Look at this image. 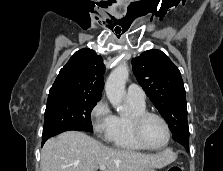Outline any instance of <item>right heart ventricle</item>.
<instances>
[{
	"mask_svg": "<svg viewBox=\"0 0 223 171\" xmlns=\"http://www.w3.org/2000/svg\"><path fill=\"white\" fill-rule=\"evenodd\" d=\"M128 103L130 113L128 115H114L113 126L107 141L117 149L133 152L142 151L144 148L136 142L132 135L130 117L135 113L146 111V105L131 100H128Z\"/></svg>",
	"mask_w": 223,
	"mask_h": 171,
	"instance_id": "1",
	"label": "right heart ventricle"
}]
</instances>
